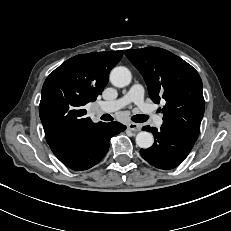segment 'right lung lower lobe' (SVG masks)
Segmentation results:
<instances>
[{
	"label": "right lung lower lobe",
	"instance_id": "right-lung-lower-lobe-1",
	"mask_svg": "<svg viewBox=\"0 0 231 231\" xmlns=\"http://www.w3.org/2000/svg\"><path fill=\"white\" fill-rule=\"evenodd\" d=\"M125 129L118 122L103 123L80 137L59 160L75 171L89 169L105 156L111 136Z\"/></svg>",
	"mask_w": 231,
	"mask_h": 231
}]
</instances>
